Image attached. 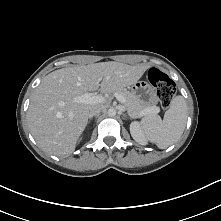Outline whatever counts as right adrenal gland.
Here are the masks:
<instances>
[{
	"label": "right adrenal gland",
	"instance_id": "1",
	"mask_svg": "<svg viewBox=\"0 0 221 221\" xmlns=\"http://www.w3.org/2000/svg\"><path fill=\"white\" fill-rule=\"evenodd\" d=\"M91 119H92V117L90 118V120L88 121V123H90Z\"/></svg>",
	"mask_w": 221,
	"mask_h": 221
}]
</instances>
